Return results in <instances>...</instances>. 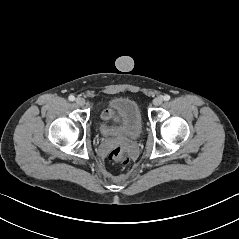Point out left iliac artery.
<instances>
[{"label":"left iliac artery","instance_id":"obj_1","mask_svg":"<svg viewBox=\"0 0 239 239\" xmlns=\"http://www.w3.org/2000/svg\"><path fill=\"white\" fill-rule=\"evenodd\" d=\"M163 99H164V101H169V100H170V96L166 94V95L163 97Z\"/></svg>","mask_w":239,"mask_h":239}]
</instances>
